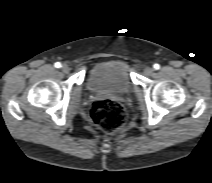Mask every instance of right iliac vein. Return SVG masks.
<instances>
[{"label": "right iliac vein", "instance_id": "right-iliac-vein-1", "mask_svg": "<svg viewBox=\"0 0 212 183\" xmlns=\"http://www.w3.org/2000/svg\"><path fill=\"white\" fill-rule=\"evenodd\" d=\"M61 70L64 73H69L70 72V67L68 65L64 64V65H62Z\"/></svg>", "mask_w": 212, "mask_h": 183}]
</instances>
